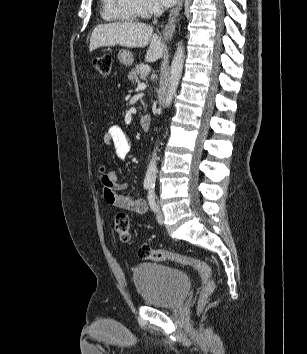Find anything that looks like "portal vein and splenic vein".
<instances>
[{
  "instance_id": "1",
  "label": "portal vein and splenic vein",
  "mask_w": 307,
  "mask_h": 354,
  "mask_svg": "<svg viewBox=\"0 0 307 354\" xmlns=\"http://www.w3.org/2000/svg\"><path fill=\"white\" fill-rule=\"evenodd\" d=\"M146 88V84L144 82H138L137 89L144 90Z\"/></svg>"
}]
</instances>
